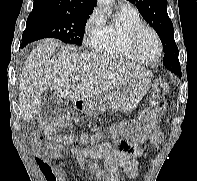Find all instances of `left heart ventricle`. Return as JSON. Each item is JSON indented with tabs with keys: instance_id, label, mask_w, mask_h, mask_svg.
I'll use <instances>...</instances> for the list:
<instances>
[{
	"instance_id": "b2bd125f",
	"label": "left heart ventricle",
	"mask_w": 197,
	"mask_h": 181,
	"mask_svg": "<svg viewBox=\"0 0 197 181\" xmlns=\"http://www.w3.org/2000/svg\"><path fill=\"white\" fill-rule=\"evenodd\" d=\"M137 47L140 55L146 60H154L158 56L159 48L154 36L145 31L138 39Z\"/></svg>"
}]
</instances>
